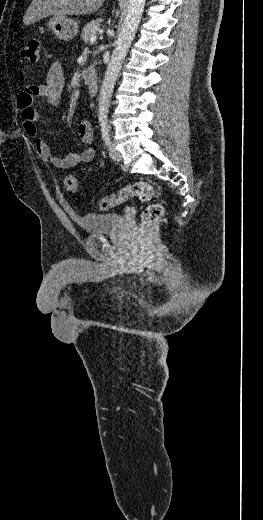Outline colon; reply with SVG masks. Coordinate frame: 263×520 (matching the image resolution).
I'll return each mask as SVG.
<instances>
[{
  "label": "colon",
  "mask_w": 263,
  "mask_h": 520,
  "mask_svg": "<svg viewBox=\"0 0 263 520\" xmlns=\"http://www.w3.org/2000/svg\"><path fill=\"white\" fill-rule=\"evenodd\" d=\"M40 42L36 39H31L27 42L22 50V55L28 61L34 63L39 59ZM63 188L68 192H75L78 188V180L74 175H66L63 179ZM155 188L148 182H136L134 184L123 187L118 192L109 196L102 197L96 203L99 210H107L122 204L129 198H138L140 201L147 203L141 214V224L143 227H148L164 215V208L161 204L153 202L155 198Z\"/></svg>",
  "instance_id": "obj_1"
}]
</instances>
